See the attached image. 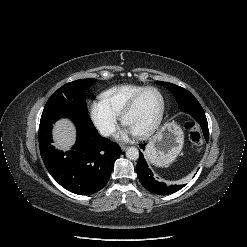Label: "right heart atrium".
<instances>
[{"mask_svg": "<svg viewBox=\"0 0 247 247\" xmlns=\"http://www.w3.org/2000/svg\"><path fill=\"white\" fill-rule=\"evenodd\" d=\"M89 116L101 135L110 136L118 124V115L112 112L102 101L94 100L88 106Z\"/></svg>", "mask_w": 247, "mask_h": 247, "instance_id": "right-heart-atrium-1", "label": "right heart atrium"}]
</instances>
